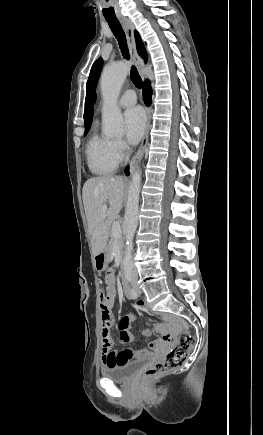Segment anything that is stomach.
<instances>
[{
  "mask_svg": "<svg viewBox=\"0 0 263 435\" xmlns=\"http://www.w3.org/2000/svg\"><path fill=\"white\" fill-rule=\"evenodd\" d=\"M108 262H109V255L107 252L104 251L95 255V265H97V269L99 271L105 269Z\"/></svg>",
  "mask_w": 263,
  "mask_h": 435,
  "instance_id": "obj_1",
  "label": "stomach"
}]
</instances>
